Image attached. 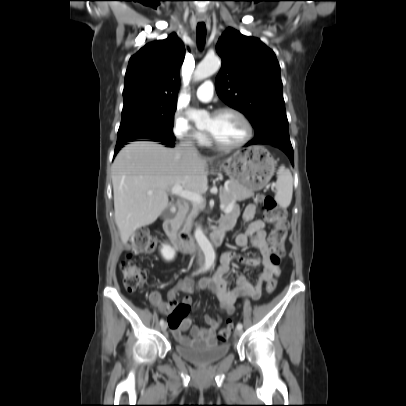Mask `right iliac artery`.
Instances as JSON below:
<instances>
[{
    "mask_svg": "<svg viewBox=\"0 0 406 406\" xmlns=\"http://www.w3.org/2000/svg\"><path fill=\"white\" fill-rule=\"evenodd\" d=\"M202 271V269L201 270H198L197 272H195L194 274H198V273H200ZM193 274V275H194ZM164 324V320L163 319H161L160 320V325H163Z\"/></svg>",
    "mask_w": 406,
    "mask_h": 406,
    "instance_id": "82829eb1",
    "label": "right iliac artery"
}]
</instances>
